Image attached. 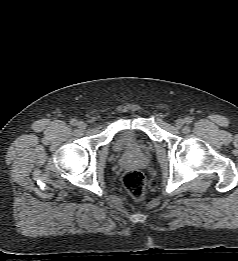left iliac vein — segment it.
I'll return each instance as SVG.
<instances>
[{"label": "left iliac vein", "instance_id": "1", "mask_svg": "<svg viewBox=\"0 0 238 261\" xmlns=\"http://www.w3.org/2000/svg\"><path fill=\"white\" fill-rule=\"evenodd\" d=\"M185 121L183 119H178L175 123V126L179 129L184 125Z\"/></svg>", "mask_w": 238, "mask_h": 261}]
</instances>
